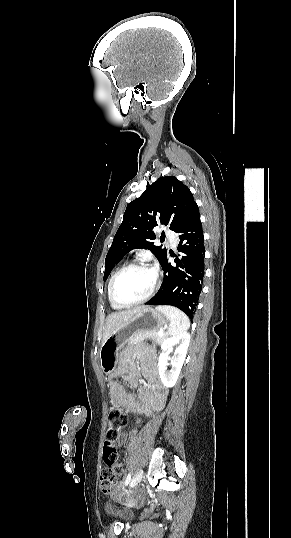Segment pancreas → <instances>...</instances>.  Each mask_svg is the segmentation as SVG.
<instances>
[{"label":"pancreas","instance_id":"pancreas-1","mask_svg":"<svg viewBox=\"0 0 291 538\" xmlns=\"http://www.w3.org/2000/svg\"><path fill=\"white\" fill-rule=\"evenodd\" d=\"M168 337L167 334L159 335L156 331H150V332H142L136 334L134 337L131 338L129 341V344H140L144 340L149 339L155 342L156 344H162L163 341Z\"/></svg>","mask_w":291,"mask_h":538}]
</instances>
